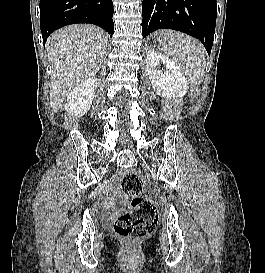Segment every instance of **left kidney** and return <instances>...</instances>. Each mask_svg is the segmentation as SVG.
Masks as SVG:
<instances>
[{"label": "left kidney", "instance_id": "1", "mask_svg": "<svg viewBox=\"0 0 265 273\" xmlns=\"http://www.w3.org/2000/svg\"><path fill=\"white\" fill-rule=\"evenodd\" d=\"M165 65L166 71L160 69ZM146 67L153 89L166 98L183 97L189 89L187 79L176 62L157 50H149Z\"/></svg>", "mask_w": 265, "mask_h": 273}]
</instances>
